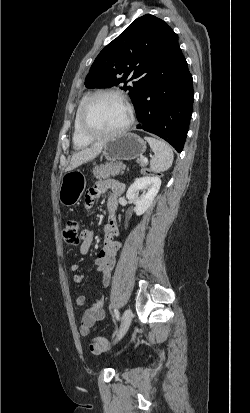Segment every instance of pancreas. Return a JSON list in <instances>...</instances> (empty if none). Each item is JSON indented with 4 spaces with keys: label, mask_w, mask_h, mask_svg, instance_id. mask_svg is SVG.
Returning <instances> with one entry per match:
<instances>
[{
    "label": "pancreas",
    "mask_w": 250,
    "mask_h": 413,
    "mask_svg": "<svg viewBox=\"0 0 250 413\" xmlns=\"http://www.w3.org/2000/svg\"><path fill=\"white\" fill-rule=\"evenodd\" d=\"M137 162L140 163L141 166H145L142 159H138ZM123 170H125V166L121 163H106L95 166L92 172L94 176L101 181L109 178L110 176L114 177L120 172L123 173Z\"/></svg>",
    "instance_id": "obj_1"
}]
</instances>
